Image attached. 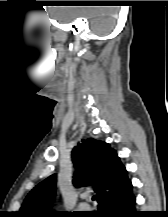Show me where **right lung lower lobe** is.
<instances>
[{
  "label": "right lung lower lobe",
  "mask_w": 168,
  "mask_h": 217,
  "mask_svg": "<svg viewBox=\"0 0 168 217\" xmlns=\"http://www.w3.org/2000/svg\"><path fill=\"white\" fill-rule=\"evenodd\" d=\"M136 197L132 192V186L124 193L110 199L99 206L97 217H142L135 210Z\"/></svg>",
  "instance_id": "obj_1"
}]
</instances>
